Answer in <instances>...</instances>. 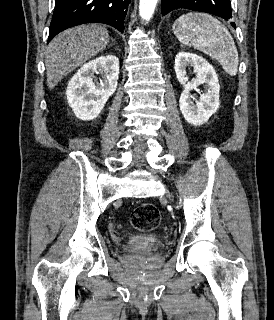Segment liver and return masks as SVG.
Returning a JSON list of instances; mask_svg holds the SVG:
<instances>
[{
  "instance_id": "1",
  "label": "liver",
  "mask_w": 274,
  "mask_h": 320,
  "mask_svg": "<svg viewBox=\"0 0 274 320\" xmlns=\"http://www.w3.org/2000/svg\"><path fill=\"white\" fill-rule=\"evenodd\" d=\"M110 42L106 26L85 24L76 26L53 38L46 50V76L53 90L64 76L104 52Z\"/></svg>"
}]
</instances>
